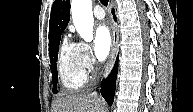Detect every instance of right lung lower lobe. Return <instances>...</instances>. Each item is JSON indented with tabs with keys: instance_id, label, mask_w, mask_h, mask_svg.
I'll use <instances>...</instances> for the list:
<instances>
[{
	"instance_id": "right-lung-lower-lobe-1",
	"label": "right lung lower lobe",
	"mask_w": 193,
	"mask_h": 112,
	"mask_svg": "<svg viewBox=\"0 0 193 112\" xmlns=\"http://www.w3.org/2000/svg\"><path fill=\"white\" fill-rule=\"evenodd\" d=\"M114 14V12H113ZM115 17V15H114ZM118 68V59L108 76L106 80H103L101 84V94L104 97V99L107 101L109 105H112L114 100V94H115V87H116V77H117V70Z\"/></svg>"
}]
</instances>
